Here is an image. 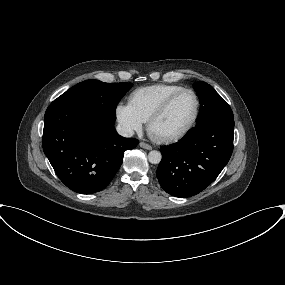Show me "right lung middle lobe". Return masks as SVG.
<instances>
[{"label":"right lung middle lobe","instance_id":"1","mask_svg":"<svg viewBox=\"0 0 285 285\" xmlns=\"http://www.w3.org/2000/svg\"><path fill=\"white\" fill-rule=\"evenodd\" d=\"M132 83H104L86 80L67 90L56 100L75 103L95 111L100 116L116 119L115 109Z\"/></svg>","mask_w":285,"mask_h":285}]
</instances>
